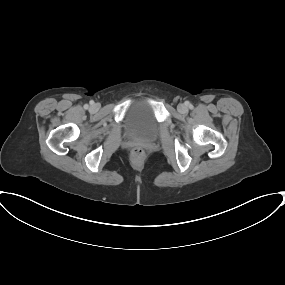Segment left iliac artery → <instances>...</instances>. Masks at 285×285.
<instances>
[{
  "label": "left iliac artery",
  "mask_w": 285,
  "mask_h": 285,
  "mask_svg": "<svg viewBox=\"0 0 285 285\" xmlns=\"http://www.w3.org/2000/svg\"><path fill=\"white\" fill-rule=\"evenodd\" d=\"M188 106L191 107V104L188 103Z\"/></svg>",
  "instance_id": "1"
}]
</instances>
